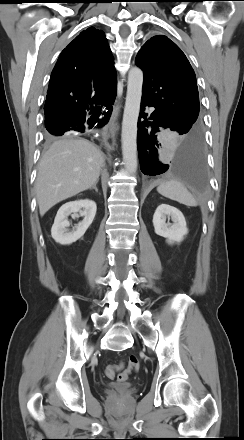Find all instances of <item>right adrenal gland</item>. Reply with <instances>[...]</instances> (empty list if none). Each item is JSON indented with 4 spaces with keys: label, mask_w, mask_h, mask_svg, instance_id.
Instances as JSON below:
<instances>
[{
    "label": "right adrenal gland",
    "mask_w": 244,
    "mask_h": 440,
    "mask_svg": "<svg viewBox=\"0 0 244 440\" xmlns=\"http://www.w3.org/2000/svg\"><path fill=\"white\" fill-rule=\"evenodd\" d=\"M92 189H94V190L98 193L97 183H95V184L92 186L91 190H92Z\"/></svg>",
    "instance_id": "2a0ac1e0"
}]
</instances>
